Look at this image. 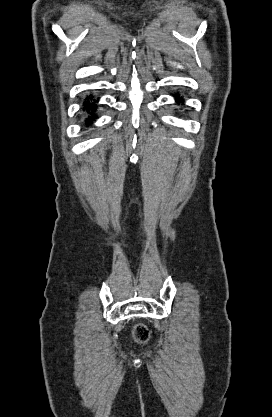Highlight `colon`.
Returning a JSON list of instances; mask_svg holds the SVG:
<instances>
[{
    "mask_svg": "<svg viewBox=\"0 0 272 417\" xmlns=\"http://www.w3.org/2000/svg\"><path fill=\"white\" fill-rule=\"evenodd\" d=\"M133 335L139 342H146L149 338V331L146 326L138 324L134 327Z\"/></svg>",
    "mask_w": 272,
    "mask_h": 417,
    "instance_id": "obj_1",
    "label": "colon"
}]
</instances>
